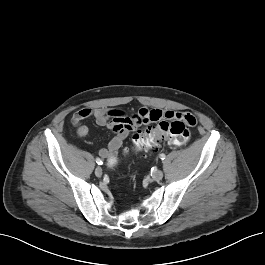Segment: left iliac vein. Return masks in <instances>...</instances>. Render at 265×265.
Returning <instances> with one entry per match:
<instances>
[{"label":"left iliac vein","mask_w":265,"mask_h":265,"mask_svg":"<svg viewBox=\"0 0 265 265\" xmlns=\"http://www.w3.org/2000/svg\"><path fill=\"white\" fill-rule=\"evenodd\" d=\"M152 178L156 181H159L163 178V172L161 170H157L153 173Z\"/></svg>","instance_id":"obj_1"}]
</instances>
